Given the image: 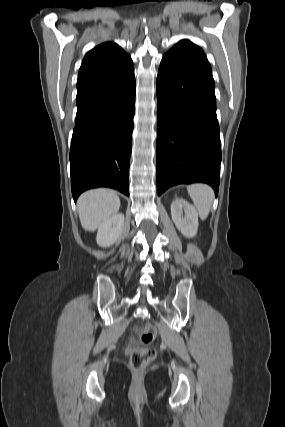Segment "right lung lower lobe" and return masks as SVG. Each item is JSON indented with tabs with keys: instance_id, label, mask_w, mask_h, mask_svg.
Listing matches in <instances>:
<instances>
[{
	"instance_id": "98d812e1",
	"label": "right lung lower lobe",
	"mask_w": 285,
	"mask_h": 427,
	"mask_svg": "<svg viewBox=\"0 0 285 427\" xmlns=\"http://www.w3.org/2000/svg\"><path fill=\"white\" fill-rule=\"evenodd\" d=\"M70 149L72 195L111 187L129 195V162L135 112L134 69L78 94Z\"/></svg>"
}]
</instances>
